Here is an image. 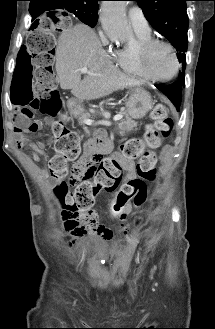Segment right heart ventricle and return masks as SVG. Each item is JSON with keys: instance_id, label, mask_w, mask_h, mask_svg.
<instances>
[{"instance_id": "right-heart-ventricle-1", "label": "right heart ventricle", "mask_w": 215, "mask_h": 329, "mask_svg": "<svg viewBox=\"0 0 215 329\" xmlns=\"http://www.w3.org/2000/svg\"><path fill=\"white\" fill-rule=\"evenodd\" d=\"M137 43L133 46L120 49L114 53V58L119 66L127 73L145 78L141 73L138 64V50L140 45L151 39L150 33L143 34L136 32ZM146 79V78H145Z\"/></svg>"}]
</instances>
